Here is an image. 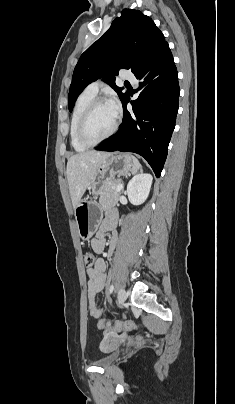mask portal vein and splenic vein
Masks as SVG:
<instances>
[{"label":"portal vein and splenic vein","instance_id":"1","mask_svg":"<svg viewBox=\"0 0 235 404\" xmlns=\"http://www.w3.org/2000/svg\"><path fill=\"white\" fill-rule=\"evenodd\" d=\"M122 189H123V185L120 184V185L117 187L116 192H119V191H121Z\"/></svg>","mask_w":235,"mask_h":404}]
</instances>
